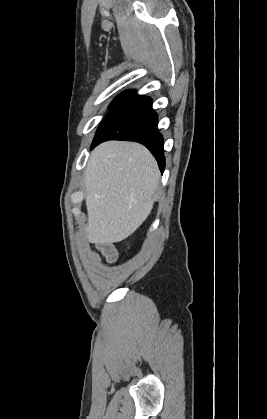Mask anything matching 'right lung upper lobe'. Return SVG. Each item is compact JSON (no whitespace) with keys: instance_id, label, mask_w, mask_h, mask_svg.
<instances>
[{"instance_id":"right-lung-upper-lobe-1","label":"right lung upper lobe","mask_w":267,"mask_h":419,"mask_svg":"<svg viewBox=\"0 0 267 419\" xmlns=\"http://www.w3.org/2000/svg\"><path fill=\"white\" fill-rule=\"evenodd\" d=\"M132 92H133V90L132 91L131 90H127V91H124L123 93L130 94Z\"/></svg>"}]
</instances>
